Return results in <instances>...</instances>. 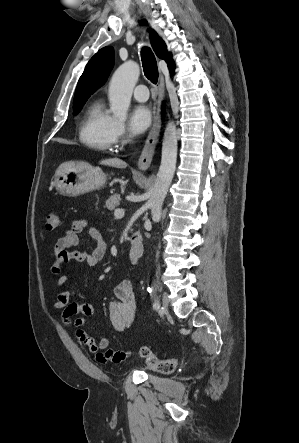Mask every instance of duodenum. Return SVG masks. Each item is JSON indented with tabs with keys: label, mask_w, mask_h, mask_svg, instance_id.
<instances>
[{
	"label": "duodenum",
	"mask_w": 299,
	"mask_h": 443,
	"mask_svg": "<svg viewBox=\"0 0 299 443\" xmlns=\"http://www.w3.org/2000/svg\"><path fill=\"white\" fill-rule=\"evenodd\" d=\"M143 253L142 236L139 232H134L130 238L129 257L133 262H136Z\"/></svg>",
	"instance_id": "1"
}]
</instances>
